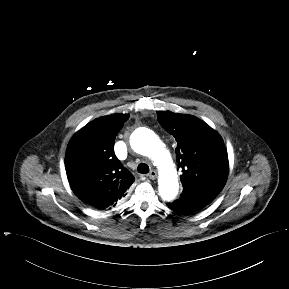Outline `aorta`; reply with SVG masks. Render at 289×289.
<instances>
[{
	"mask_svg": "<svg viewBox=\"0 0 289 289\" xmlns=\"http://www.w3.org/2000/svg\"><path fill=\"white\" fill-rule=\"evenodd\" d=\"M130 144L135 152L149 157L158 168V190L161 198L165 201L173 200L179 190L177 172L170 153L161 140L151 130L143 129L132 134Z\"/></svg>",
	"mask_w": 289,
	"mask_h": 289,
	"instance_id": "1",
	"label": "aorta"
}]
</instances>
